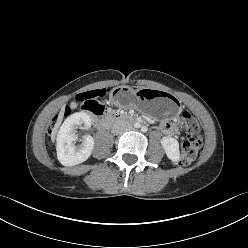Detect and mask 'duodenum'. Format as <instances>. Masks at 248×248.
I'll use <instances>...</instances> for the list:
<instances>
[{"label": "duodenum", "mask_w": 248, "mask_h": 248, "mask_svg": "<svg viewBox=\"0 0 248 248\" xmlns=\"http://www.w3.org/2000/svg\"><path fill=\"white\" fill-rule=\"evenodd\" d=\"M86 110L95 117V122L97 126L100 128H106L114 122H129L130 121V117L124 114L110 112L105 115H100L99 113L93 112L90 109H86Z\"/></svg>", "instance_id": "1"}]
</instances>
